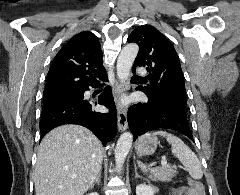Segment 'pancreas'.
Instances as JSON below:
<instances>
[{
    "label": "pancreas",
    "mask_w": 240,
    "mask_h": 195,
    "mask_svg": "<svg viewBox=\"0 0 240 195\" xmlns=\"http://www.w3.org/2000/svg\"><path fill=\"white\" fill-rule=\"evenodd\" d=\"M177 173V165H164V167H159L156 171H152L148 177L152 181H172Z\"/></svg>",
    "instance_id": "cf45deb5"
}]
</instances>
